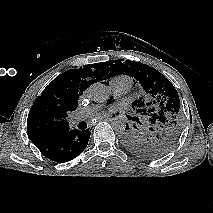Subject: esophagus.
<instances>
[{
    "mask_svg": "<svg viewBox=\"0 0 213 213\" xmlns=\"http://www.w3.org/2000/svg\"><path fill=\"white\" fill-rule=\"evenodd\" d=\"M107 118H111V115L99 116V117H96V120L100 121V120L107 119Z\"/></svg>",
    "mask_w": 213,
    "mask_h": 213,
    "instance_id": "obj_1",
    "label": "esophagus"
}]
</instances>
